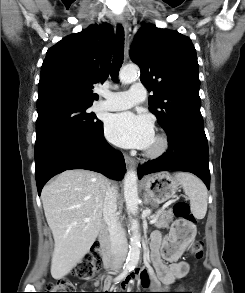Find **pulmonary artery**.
Listing matches in <instances>:
<instances>
[{
	"mask_svg": "<svg viewBox=\"0 0 245 293\" xmlns=\"http://www.w3.org/2000/svg\"><path fill=\"white\" fill-rule=\"evenodd\" d=\"M104 101L99 108L106 111H120L133 107L146 97V90L140 83H134L128 91L102 92Z\"/></svg>",
	"mask_w": 245,
	"mask_h": 293,
	"instance_id": "obj_1",
	"label": "pulmonary artery"
}]
</instances>
